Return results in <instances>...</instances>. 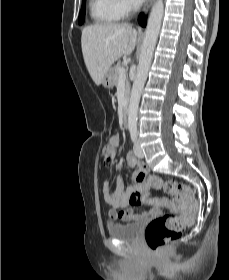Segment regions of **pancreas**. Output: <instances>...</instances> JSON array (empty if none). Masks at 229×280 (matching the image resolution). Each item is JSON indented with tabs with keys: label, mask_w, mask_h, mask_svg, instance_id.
<instances>
[{
	"label": "pancreas",
	"mask_w": 229,
	"mask_h": 280,
	"mask_svg": "<svg viewBox=\"0 0 229 280\" xmlns=\"http://www.w3.org/2000/svg\"><path fill=\"white\" fill-rule=\"evenodd\" d=\"M123 66L118 62L117 65L113 68L114 71V85H118L119 80H120V68H122ZM130 90V82L129 80H126V84H125V94L126 96L128 95Z\"/></svg>",
	"instance_id": "pancreas-1"
}]
</instances>
